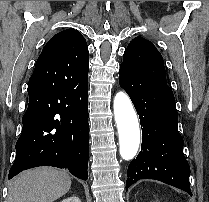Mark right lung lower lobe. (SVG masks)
<instances>
[{"mask_svg": "<svg viewBox=\"0 0 209 202\" xmlns=\"http://www.w3.org/2000/svg\"><path fill=\"white\" fill-rule=\"evenodd\" d=\"M53 66L51 60H37L29 79V104L9 179L45 165L88 179V83L76 84Z\"/></svg>", "mask_w": 209, "mask_h": 202, "instance_id": "obj_1", "label": "right lung lower lobe"}]
</instances>
